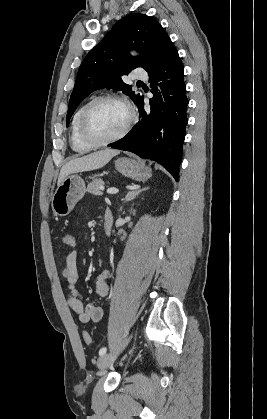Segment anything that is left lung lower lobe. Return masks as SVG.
Wrapping results in <instances>:
<instances>
[{"mask_svg":"<svg viewBox=\"0 0 267 419\" xmlns=\"http://www.w3.org/2000/svg\"><path fill=\"white\" fill-rule=\"evenodd\" d=\"M148 75L153 93L151 110L144 109L142 96L136 103L139 122L126 136L110 146L158 162L178 181L189 101L184 66L171 40Z\"/></svg>","mask_w":267,"mask_h":419,"instance_id":"left-lung-lower-lobe-1","label":"left lung lower lobe"}]
</instances>
